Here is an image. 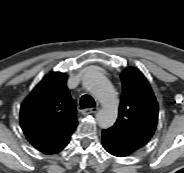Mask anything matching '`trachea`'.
I'll list each match as a JSON object with an SVG mask.
<instances>
[{
    "instance_id": "trachea-1",
    "label": "trachea",
    "mask_w": 184,
    "mask_h": 173,
    "mask_svg": "<svg viewBox=\"0 0 184 173\" xmlns=\"http://www.w3.org/2000/svg\"><path fill=\"white\" fill-rule=\"evenodd\" d=\"M96 103L92 96L85 94L80 99L81 109L95 107Z\"/></svg>"
}]
</instances>
